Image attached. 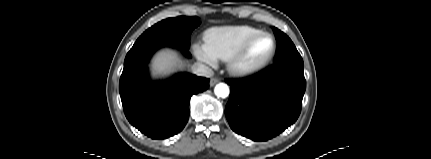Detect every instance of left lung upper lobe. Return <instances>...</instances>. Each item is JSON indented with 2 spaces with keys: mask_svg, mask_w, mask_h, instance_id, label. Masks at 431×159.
Returning a JSON list of instances; mask_svg holds the SVG:
<instances>
[{
  "mask_svg": "<svg viewBox=\"0 0 431 159\" xmlns=\"http://www.w3.org/2000/svg\"><path fill=\"white\" fill-rule=\"evenodd\" d=\"M273 31L278 42V50L274 64L288 60L303 62L290 38L277 28H273Z\"/></svg>",
  "mask_w": 431,
  "mask_h": 159,
  "instance_id": "5c2ea615",
  "label": "left lung upper lobe"
}]
</instances>
